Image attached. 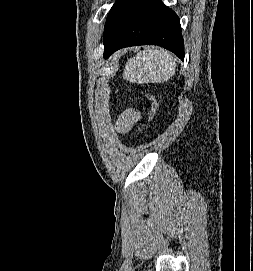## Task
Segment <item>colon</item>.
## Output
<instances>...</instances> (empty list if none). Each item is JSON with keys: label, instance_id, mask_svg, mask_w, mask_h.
Listing matches in <instances>:
<instances>
[{"label": "colon", "instance_id": "1", "mask_svg": "<svg viewBox=\"0 0 253 271\" xmlns=\"http://www.w3.org/2000/svg\"><path fill=\"white\" fill-rule=\"evenodd\" d=\"M146 98L150 101L151 103V116H150V122L152 126L155 125L157 116H158V111H159V103L156 98V96L152 93H148L146 95Z\"/></svg>", "mask_w": 253, "mask_h": 271}]
</instances>
